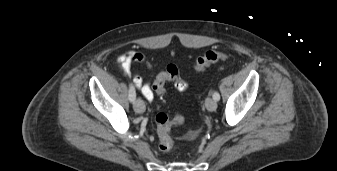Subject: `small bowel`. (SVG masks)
<instances>
[{
	"label": "small bowel",
	"mask_w": 337,
	"mask_h": 171,
	"mask_svg": "<svg viewBox=\"0 0 337 171\" xmlns=\"http://www.w3.org/2000/svg\"><path fill=\"white\" fill-rule=\"evenodd\" d=\"M135 64H143L149 71H153V67L149 63L147 57L141 52L130 50L121 54L117 58V65L123 74L127 77H133V81L136 87L141 91L142 95L148 101H152L155 95L153 85L158 75L156 76L153 83L146 82L139 74L132 73V68Z\"/></svg>",
	"instance_id": "1"
}]
</instances>
